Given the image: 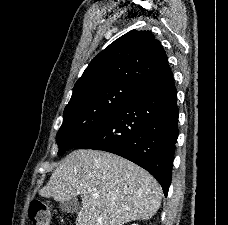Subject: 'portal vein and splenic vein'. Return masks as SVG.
Here are the masks:
<instances>
[{
	"mask_svg": "<svg viewBox=\"0 0 228 225\" xmlns=\"http://www.w3.org/2000/svg\"><path fill=\"white\" fill-rule=\"evenodd\" d=\"M93 197H95V199H97L98 195H93Z\"/></svg>",
	"mask_w": 228,
	"mask_h": 225,
	"instance_id": "obj_1",
	"label": "portal vein and splenic vein"
}]
</instances>
